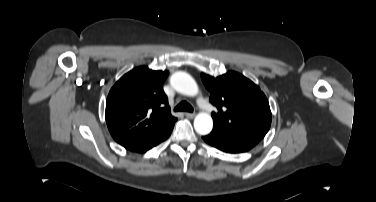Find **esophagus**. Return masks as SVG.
<instances>
[{
  "label": "esophagus",
  "instance_id": "esophagus-1",
  "mask_svg": "<svg viewBox=\"0 0 376 202\" xmlns=\"http://www.w3.org/2000/svg\"><path fill=\"white\" fill-rule=\"evenodd\" d=\"M185 116L187 117V118H194L195 117V113H190V112H186L185 113Z\"/></svg>",
  "mask_w": 376,
  "mask_h": 202
}]
</instances>
